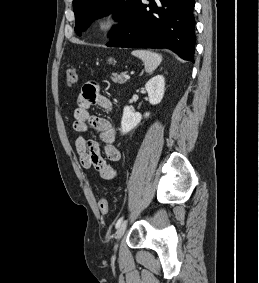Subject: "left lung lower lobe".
<instances>
[{
	"instance_id": "left-lung-lower-lobe-1",
	"label": "left lung lower lobe",
	"mask_w": 259,
	"mask_h": 283,
	"mask_svg": "<svg viewBox=\"0 0 259 283\" xmlns=\"http://www.w3.org/2000/svg\"><path fill=\"white\" fill-rule=\"evenodd\" d=\"M194 0H136L109 47L167 48L194 62Z\"/></svg>"
}]
</instances>
